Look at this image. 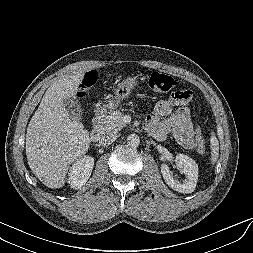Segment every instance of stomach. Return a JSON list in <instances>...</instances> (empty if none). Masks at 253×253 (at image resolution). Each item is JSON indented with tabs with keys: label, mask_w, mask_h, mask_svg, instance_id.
<instances>
[{
	"label": "stomach",
	"mask_w": 253,
	"mask_h": 253,
	"mask_svg": "<svg viewBox=\"0 0 253 253\" xmlns=\"http://www.w3.org/2000/svg\"><path fill=\"white\" fill-rule=\"evenodd\" d=\"M138 85V81L136 78L129 77L124 79L122 82L118 83V85L114 89V97L110 99L106 104L99 108L100 113H110L113 109H115L119 102L125 98H127L132 90Z\"/></svg>",
	"instance_id": "0dacf381"
}]
</instances>
